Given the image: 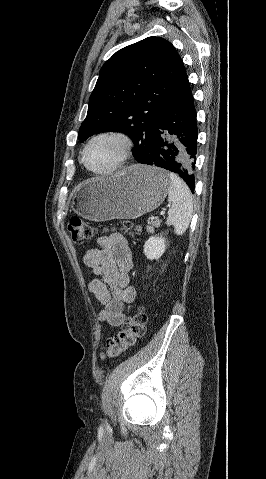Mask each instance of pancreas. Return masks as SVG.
<instances>
[{
  "label": "pancreas",
  "instance_id": "1",
  "mask_svg": "<svg viewBox=\"0 0 266 479\" xmlns=\"http://www.w3.org/2000/svg\"><path fill=\"white\" fill-rule=\"evenodd\" d=\"M161 224V220L156 219L154 221H148V225L146 226V231L148 233H153L155 228H158Z\"/></svg>",
  "mask_w": 266,
  "mask_h": 479
}]
</instances>
